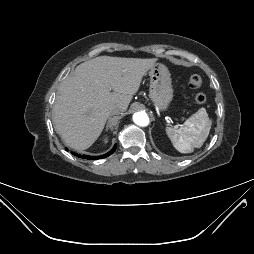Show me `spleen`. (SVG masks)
I'll return each mask as SVG.
<instances>
[{
	"instance_id": "1",
	"label": "spleen",
	"mask_w": 254,
	"mask_h": 254,
	"mask_svg": "<svg viewBox=\"0 0 254 254\" xmlns=\"http://www.w3.org/2000/svg\"><path fill=\"white\" fill-rule=\"evenodd\" d=\"M212 121L205 108H200L191 115L178 129L167 127L166 133L173 146L181 153H191L194 148H200L206 141Z\"/></svg>"
}]
</instances>
